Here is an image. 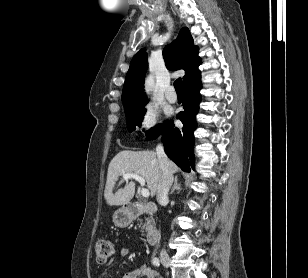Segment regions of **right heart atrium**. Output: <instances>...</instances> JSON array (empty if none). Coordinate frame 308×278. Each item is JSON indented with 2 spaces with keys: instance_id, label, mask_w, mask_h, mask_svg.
<instances>
[{
  "instance_id": "1",
  "label": "right heart atrium",
  "mask_w": 308,
  "mask_h": 278,
  "mask_svg": "<svg viewBox=\"0 0 308 278\" xmlns=\"http://www.w3.org/2000/svg\"><path fill=\"white\" fill-rule=\"evenodd\" d=\"M159 120V110L150 103L145 104L138 117V129L144 135L152 134L158 128Z\"/></svg>"
}]
</instances>
